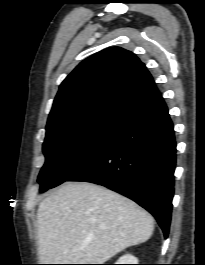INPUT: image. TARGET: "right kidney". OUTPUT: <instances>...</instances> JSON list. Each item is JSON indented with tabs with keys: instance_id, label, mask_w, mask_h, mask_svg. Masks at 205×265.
Instances as JSON below:
<instances>
[{
	"instance_id": "ca27d5eb",
	"label": "right kidney",
	"mask_w": 205,
	"mask_h": 265,
	"mask_svg": "<svg viewBox=\"0 0 205 265\" xmlns=\"http://www.w3.org/2000/svg\"><path fill=\"white\" fill-rule=\"evenodd\" d=\"M118 261L117 264H138V259L130 254L120 257Z\"/></svg>"
}]
</instances>
